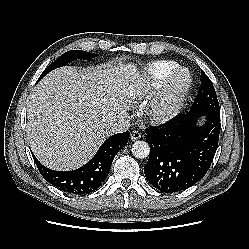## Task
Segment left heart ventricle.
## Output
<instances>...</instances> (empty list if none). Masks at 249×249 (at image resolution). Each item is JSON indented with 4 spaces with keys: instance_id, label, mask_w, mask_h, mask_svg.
I'll use <instances>...</instances> for the list:
<instances>
[{
    "instance_id": "1",
    "label": "left heart ventricle",
    "mask_w": 249,
    "mask_h": 249,
    "mask_svg": "<svg viewBox=\"0 0 249 249\" xmlns=\"http://www.w3.org/2000/svg\"><path fill=\"white\" fill-rule=\"evenodd\" d=\"M185 80V76L184 75H180L176 81V85L180 86Z\"/></svg>"
}]
</instances>
